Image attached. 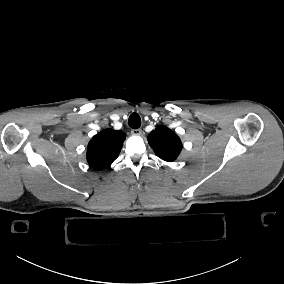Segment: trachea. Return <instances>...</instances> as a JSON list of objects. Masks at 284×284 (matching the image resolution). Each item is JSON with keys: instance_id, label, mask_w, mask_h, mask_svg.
Listing matches in <instances>:
<instances>
[{"instance_id": "obj_1", "label": "trachea", "mask_w": 284, "mask_h": 284, "mask_svg": "<svg viewBox=\"0 0 284 284\" xmlns=\"http://www.w3.org/2000/svg\"><path fill=\"white\" fill-rule=\"evenodd\" d=\"M128 124L133 129H138L141 126V118L137 113L130 115L128 119Z\"/></svg>"}]
</instances>
